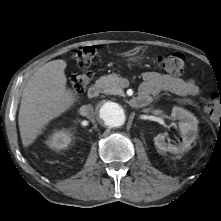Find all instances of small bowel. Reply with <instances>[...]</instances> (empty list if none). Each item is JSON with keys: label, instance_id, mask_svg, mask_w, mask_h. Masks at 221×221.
Returning a JSON list of instances; mask_svg holds the SVG:
<instances>
[{"label": "small bowel", "instance_id": "small-bowel-1", "mask_svg": "<svg viewBox=\"0 0 221 221\" xmlns=\"http://www.w3.org/2000/svg\"><path fill=\"white\" fill-rule=\"evenodd\" d=\"M168 91L182 96H199L201 89L192 79H184L178 76L160 74L157 72H145L140 93L150 96Z\"/></svg>", "mask_w": 221, "mask_h": 221}]
</instances>
